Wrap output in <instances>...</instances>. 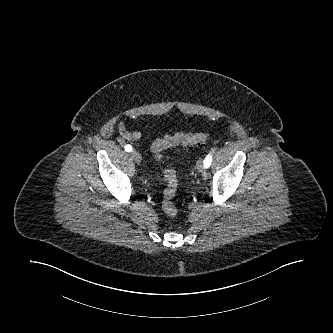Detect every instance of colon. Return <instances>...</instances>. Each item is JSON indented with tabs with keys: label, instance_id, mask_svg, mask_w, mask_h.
Wrapping results in <instances>:
<instances>
[{
	"label": "colon",
	"instance_id": "5ec220e1",
	"mask_svg": "<svg viewBox=\"0 0 333 333\" xmlns=\"http://www.w3.org/2000/svg\"><path fill=\"white\" fill-rule=\"evenodd\" d=\"M207 139L208 135L204 133H177L171 136H164L154 141L151 147V152L156 159H160V152L165 148L176 145H197L204 143ZM163 176L167 185L164 190L162 209L166 215L175 217L178 213V210L173 202V198L178 187L176 173L173 169L166 168L163 170Z\"/></svg>",
	"mask_w": 333,
	"mask_h": 333
}]
</instances>
